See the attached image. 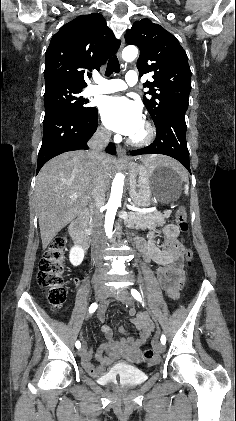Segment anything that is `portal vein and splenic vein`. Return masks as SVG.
I'll list each match as a JSON object with an SVG mask.
<instances>
[{
    "mask_svg": "<svg viewBox=\"0 0 236 421\" xmlns=\"http://www.w3.org/2000/svg\"><path fill=\"white\" fill-rule=\"evenodd\" d=\"M70 198H73V200H75L77 196L76 194H74V196H70ZM124 208H130L131 211H140V213H153V211H156V206H152V208H135L133 204H125Z\"/></svg>",
    "mask_w": 236,
    "mask_h": 421,
    "instance_id": "1",
    "label": "portal vein and splenic vein"
}]
</instances>
